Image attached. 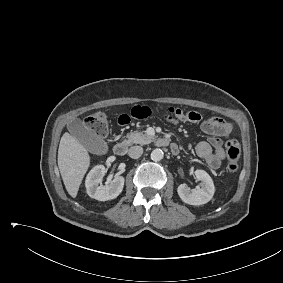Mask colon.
<instances>
[{
  "label": "colon",
  "instance_id": "5ec220e1",
  "mask_svg": "<svg viewBox=\"0 0 283 283\" xmlns=\"http://www.w3.org/2000/svg\"><path fill=\"white\" fill-rule=\"evenodd\" d=\"M86 126L100 137H105L108 133L109 123L107 116L103 112H96L89 115L85 120ZM226 156L228 160L227 169L233 173L238 168V161L241 149L236 139H230L225 144Z\"/></svg>",
  "mask_w": 283,
  "mask_h": 283
}]
</instances>
